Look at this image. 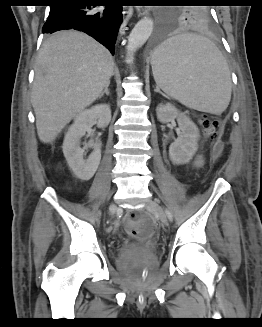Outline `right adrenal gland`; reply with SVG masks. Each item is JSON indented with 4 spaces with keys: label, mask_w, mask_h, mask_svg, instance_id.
Returning <instances> with one entry per match:
<instances>
[{
    "label": "right adrenal gland",
    "mask_w": 262,
    "mask_h": 327,
    "mask_svg": "<svg viewBox=\"0 0 262 327\" xmlns=\"http://www.w3.org/2000/svg\"><path fill=\"white\" fill-rule=\"evenodd\" d=\"M108 87H109V84L106 85V87L104 88V91H102V93L99 95V99H101L105 94L107 96H109V89H108Z\"/></svg>",
    "instance_id": "right-adrenal-gland-1"
}]
</instances>
